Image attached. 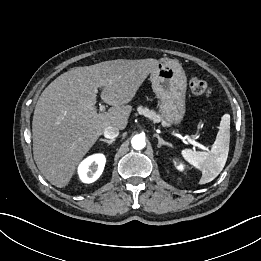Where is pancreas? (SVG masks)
I'll list each match as a JSON object with an SVG mask.
<instances>
[{"label": "pancreas", "instance_id": "cf45deb5", "mask_svg": "<svg viewBox=\"0 0 261 261\" xmlns=\"http://www.w3.org/2000/svg\"><path fill=\"white\" fill-rule=\"evenodd\" d=\"M138 113L149 119L153 120L154 122H162L163 125H169L160 115L156 112L149 110L148 108L138 107Z\"/></svg>", "mask_w": 261, "mask_h": 261}]
</instances>
